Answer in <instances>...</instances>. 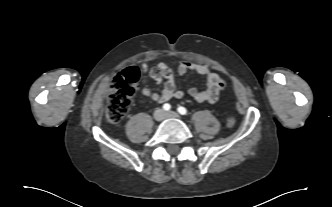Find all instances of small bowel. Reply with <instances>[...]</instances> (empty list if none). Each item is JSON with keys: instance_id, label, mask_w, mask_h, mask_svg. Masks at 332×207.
<instances>
[{"instance_id": "1", "label": "small bowel", "mask_w": 332, "mask_h": 207, "mask_svg": "<svg viewBox=\"0 0 332 207\" xmlns=\"http://www.w3.org/2000/svg\"><path fill=\"white\" fill-rule=\"evenodd\" d=\"M140 69L144 73H148L157 84L164 83L163 89L160 92H153L147 87L143 88L142 94L145 97L151 98L158 103H163L172 98H182L184 96V92L176 88L173 71L166 63L160 62L152 68L142 63L140 64ZM188 71H193L203 76L206 80L203 90L192 87L188 90V94L197 102H216L225 88L224 80L206 65L186 60L178 62L177 72L179 75H184Z\"/></svg>"}]
</instances>
